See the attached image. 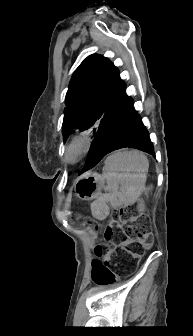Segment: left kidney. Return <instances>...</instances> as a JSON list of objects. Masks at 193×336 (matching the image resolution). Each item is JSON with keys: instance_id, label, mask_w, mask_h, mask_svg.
Listing matches in <instances>:
<instances>
[{"instance_id": "obj_1", "label": "left kidney", "mask_w": 193, "mask_h": 336, "mask_svg": "<svg viewBox=\"0 0 193 336\" xmlns=\"http://www.w3.org/2000/svg\"><path fill=\"white\" fill-rule=\"evenodd\" d=\"M149 189H150V188L146 189V191L149 190ZM138 210H139V212L144 211V204H143V202H140V203L138 204Z\"/></svg>"}]
</instances>
